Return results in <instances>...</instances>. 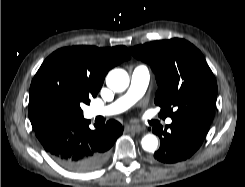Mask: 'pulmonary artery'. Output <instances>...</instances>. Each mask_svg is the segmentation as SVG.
I'll return each instance as SVG.
<instances>
[{"label": "pulmonary artery", "mask_w": 245, "mask_h": 187, "mask_svg": "<svg viewBox=\"0 0 245 187\" xmlns=\"http://www.w3.org/2000/svg\"><path fill=\"white\" fill-rule=\"evenodd\" d=\"M150 80V72L146 65H138L134 68L131 74L130 86L125 95L117 99L112 104L101 107L91 108L89 115L95 116H112L128 109L134 104L146 91ZM172 120L167 119L170 124Z\"/></svg>", "instance_id": "obj_1"}]
</instances>
